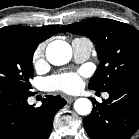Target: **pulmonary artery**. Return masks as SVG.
<instances>
[{
  "label": "pulmonary artery",
  "mask_w": 139,
  "mask_h": 139,
  "mask_svg": "<svg viewBox=\"0 0 139 139\" xmlns=\"http://www.w3.org/2000/svg\"><path fill=\"white\" fill-rule=\"evenodd\" d=\"M71 45L74 59L76 62L78 63L84 62L90 57L93 49V44L88 38L85 37L75 38L72 40ZM103 97L107 99L109 97V94L105 93Z\"/></svg>",
  "instance_id": "pulmonary-artery-1"
}]
</instances>
